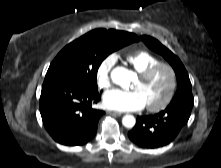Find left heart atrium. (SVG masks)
<instances>
[{"label":"left heart atrium","mask_w":221,"mask_h":168,"mask_svg":"<svg viewBox=\"0 0 221 168\" xmlns=\"http://www.w3.org/2000/svg\"><path fill=\"white\" fill-rule=\"evenodd\" d=\"M103 105L114 111H137L144 108L146 102L139 90L113 89L104 94Z\"/></svg>","instance_id":"39dd6f15"}]
</instances>
